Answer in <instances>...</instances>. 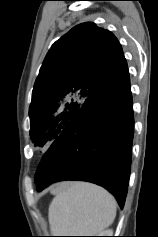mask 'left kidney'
<instances>
[{
    "label": "left kidney",
    "mask_w": 158,
    "mask_h": 237,
    "mask_svg": "<svg viewBox=\"0 0 158 237\" xmlns=\"http://www.w3.org/2000/svg\"><path fill=\"white\" fill-rule=\"evenodd\" d=\"M100 236H113L112 230H106L105 232H102V234H99Z\"/></svg>",
    "instance_id": "5707ae66"
}]
</instances>
